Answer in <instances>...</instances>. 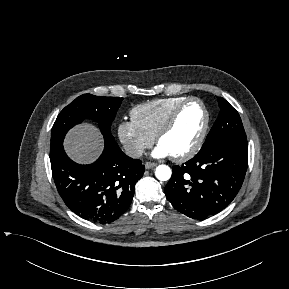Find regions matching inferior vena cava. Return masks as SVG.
I'll return each instance as SVG.
<instances>
[{"label": "inferior vena cava", "mask_w": 289, "mask_h": 289, "mask_svg": "<svg viewBox=\"0 0 289 289\" xmlns=\"http://www.w3.org/2000/svg\"><path fill=\"white\" fill-rule=\"evenodd\" d=\"M144 150L139 147H126L125 148V153L127 156L131 158H140L143 155Z\"/></svg>", "instance_id": "602c4592"}]
</instances>
